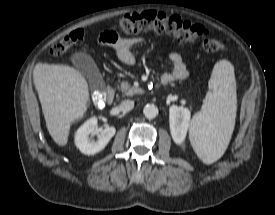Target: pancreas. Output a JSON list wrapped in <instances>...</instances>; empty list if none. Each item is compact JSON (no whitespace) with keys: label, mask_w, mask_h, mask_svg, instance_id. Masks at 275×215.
Wrapping results in <instances>:
<instances>
[{"label":"pancreas","mask_w":275,"mask_h":215,"mask_svg":"<svg viewBox=\"0 0 275 215\" xmlns=\"http://www.w3.org/2000/svg\"><path fill=\"white\" fill-rule=\"evenodd\" d=\"M119 89L122 91L124 95H127V96H133L135 94H139L143 92L142 89L137 88L135 86H131L128 81L121 82Z\"/></svg>","instance_id":"1"}]
</instances>
